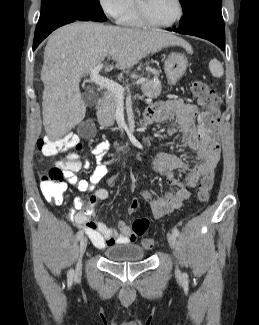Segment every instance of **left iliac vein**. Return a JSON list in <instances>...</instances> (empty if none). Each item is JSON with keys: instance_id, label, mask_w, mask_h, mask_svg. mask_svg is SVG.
I'll return each instance as SVG.
<instances>
[{"instance_id": "4c4485c4", "label": "left iliac vein", "mask_w": 259, "mask_h": 325, "mask_svg": "<svg viewBox=\"0 0 259 325\" xmlns=\"http://www.w3.org/2000/svg\"><path fill=\"white\" fill-rule=\"evenodd\" d=\"M167 239H168V243H169L170 247L172 249H174L176 247V243H177L176 236L173 233H168L167 234ZM175 274H176L177 277L181 276L180 270H179V268L177 266L175 268Z\"/></svg>"}]
</instances>
